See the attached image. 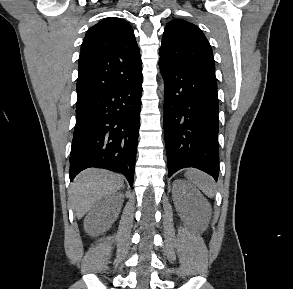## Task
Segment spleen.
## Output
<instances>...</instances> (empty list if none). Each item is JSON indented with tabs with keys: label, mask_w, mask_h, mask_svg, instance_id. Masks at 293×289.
Segmentation results:
<instances>
[{
	"label": "spleen",
	"mask_w": 293,
	"mask_h": 289,
	"mask_svg": "<svg viewBox=\"0 0 293 289\" xmlns=\"http://www.w3.org/2000/svg\"><path fill=\"white\" fill-rule=\"evenodd\" d=\"M185 176L192 184L198 187L206 196H208L209 198L214 197L215 184L213 179L209 175L199 170L189 169L187 170Z\"/></svg>",
	"instance_id": "3e777b00"
}]
</instances>
